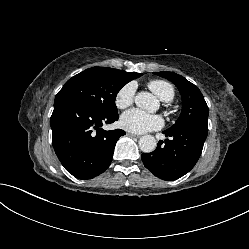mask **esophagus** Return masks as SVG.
<instances>
[{
  "mask_svg": "<svg viewBox=\"0 0 249 249\" xmlns=\"http://www.w3.org/2000/svg\"><path fill=\"white\" fill-rule=\"evenodd\" d=\"M127 135L130 136V137H137V138L140 137V135L134 134V133H130V132H128Z\"/></svg>",
  "mask_w": 249,
  "mask_h": 249,
  "instance_id": "34e87169",
  "label": "esophagus"
}]
</instances>
